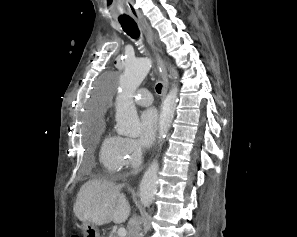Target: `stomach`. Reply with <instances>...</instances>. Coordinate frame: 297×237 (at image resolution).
Here are the masks:
<instances>
[{
	"instance_id": "0dacf381",
	"label": "stomach",
	"mask_w": 297,
	"mask_h": 237,
	"mask_svg": "<svg viewBox=\"0 0 297 237\" xmlns=\"http://www.w3.org/2000/svg\"><path fill=\"white\" fill-rule=\"evenodd\" d=\"M81 229L84 234V237H100L99 229L97 225L93 223L84 222L81 226Z\"/></svg>"
}]
</instances>
